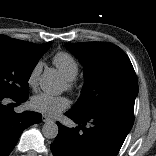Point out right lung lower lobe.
I'll list each match as a JSON object with an SVG mask.
<instances>
[{
  "label": "right lung lower lobe",
  "mask_w": 156,
  "mask_h": 156,
  "mask_svg": "<svg viewBox=\"0 0 156 156\" xmlns=\"http://www.w3.org/2000/svg\"><path fill=\"white\" fill-rule=\"evenodd\" d=\"M6 98L14 101L15 105L25 102L28 96L12 98L0 93V156H8L15 147L21 133L30 125L40 123L42 115L37 112H14V104L4 105Z\"/></svg>",
  "instance_id": "obj_1"
}]
</instances>
